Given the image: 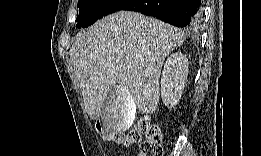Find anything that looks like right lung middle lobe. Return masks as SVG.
I'll use <instances>...</instances> for the list:
<instances>
[{
	"label": "right lung middle lobe",
	"mask_w": 261,
	"mask_h": 156,
	"mask_svg": "<svg viewBox=\"0 0 261 156\" xmlns=\"http://www.w3.org/2000/svg\"><path fill=\"white\" fill-rule=\"evenodd\" d=\"M125 0H79L77 28H85L99 18L114 12Z\"/></svg>",
	"instance_id": "right-lung-middle-lobe-1"
}]
</instances>
